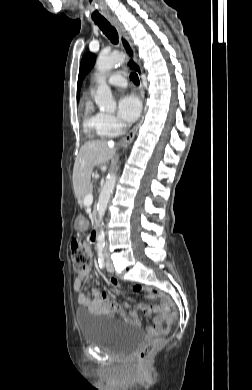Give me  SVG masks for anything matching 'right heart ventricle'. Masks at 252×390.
I'll return each mask as SVG.
<instances>
[{
	"mask_svg": "<svg viewBox=\"0 0 252 390\" xmlns=\"http://www.w3.org/2000/svg\"><path fill=\"white\" fill-rule=\"evenodd\" d=\"M84 122H83V127L85 133L89 137H105L103 136L98 129L99 125V114H94L93 113V107L91 103H87L84 109Z\"/></svg>",
	"mask_w": 252,
	"mask_h": 390,
	"instance_id": "e07e8e85",
	"label": "right heart ventricle"
}]
</instances>
